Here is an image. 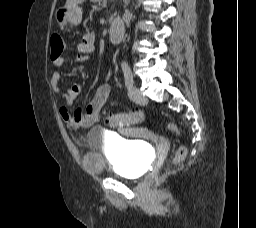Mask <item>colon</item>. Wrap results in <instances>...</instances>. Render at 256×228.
I'll list each match as a JSON object with an SVG mask.
<instances>
[{
  "mask_svg": "<svg viewBox=\"0 0 256 228\" xmlns=\"http://www.w3.org/2000/svg\"><path fill=\"white\" fill-rule=\"evenodd\" d=\"M64 50V40L61 38L60 35L55 34L51 37V56H58ZM143 121V113L140 111H134L131 113H114L110 114L107 118V123L122 127L125 125H134L138 124ZM168 129L179 134L180 131L178 127L170 123L168 125ZM187 155V148L184 145H181L177 148L175 155L173 157V163L178 164L182 162Z\"/></svg>",
  "mask_w": 256,
  "mask_h": 228,
  "instance_id": "colon-1",
  "label": "colon"
}]
</instances>
